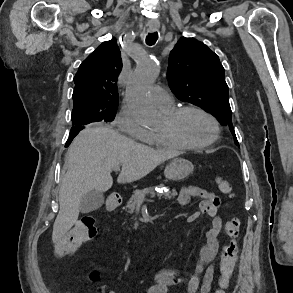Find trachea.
<instances>
[{
    "mask_svg": "<svg viewBox=\"0 0 293 293\" xmlns=\"http://www.w3.org/2000/svg\"><path fill=\"white\" fill-rule=\"evenodd\" d=\"M158 39V33L154 32V33H149L148 36L146 37V43L148 45H153L156 43Z\"/></svg>",
    "mask_w": 293,
    "mask_h": 293,
    "instance_id": "obj_1",
    "label": "trachea"
}]
</instances>
